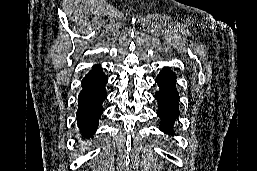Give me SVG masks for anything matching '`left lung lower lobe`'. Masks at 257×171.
<instances>
[{"mask_svg":"<svg viewBox=\"0 0 257 171\" xmlns=\"http://www.w3.org/2000/svg\"><path fill=\"white\" fill-rule=\"evenodd\" d=\"M156 82L159 91L155 93V98L159 105L158 115L162 119L160 130L166 134H174L172 123L179 116L176 75L169 68H164L157 76Z\"/></svg>","mask_w":257,"mask_h":171,"instance_id":"left-lung-lower-lobe-1","label":"left lung lower lobe"}]
</instances>
